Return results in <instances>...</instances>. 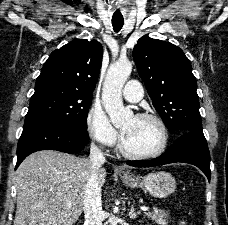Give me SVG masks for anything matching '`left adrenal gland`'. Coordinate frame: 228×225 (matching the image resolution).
Wrapping results in <instances>:
<instances>
[{"label": "left adrenal gland", "mask_w": 228, "mask_h": 225, "mask_svg": "<svg viewBox=\"0 0 228 225\" xmlns=\"http://www.w3.org/2000/svg\"><path fill=\"white\" fill-rule=\"evenodd\" d=\"M129 213V217L130 219H136L137 215H140L139 211L138 213H135V209H134V205H130V209H128Z\"/></svg>", "instance_id": "obj_1"}]
</instances>
